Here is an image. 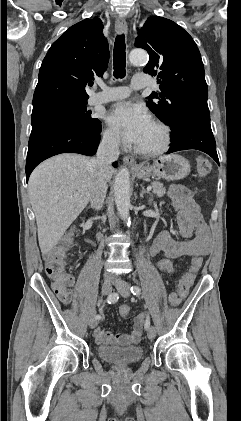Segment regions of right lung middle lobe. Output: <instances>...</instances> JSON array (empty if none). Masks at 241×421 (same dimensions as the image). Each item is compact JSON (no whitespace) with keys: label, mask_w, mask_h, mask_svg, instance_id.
<instances>
[{"label":"right lung middle lobe","mask_w":241,"mask_h":421,"mask_svg":"<svg viewBox=\"0 0 241 421\" xmlns=\"http://www.w3.org/2000/svg\"><path fill=\"white\" fill-rule=\"evenodd\" d=\"M87 101H52L33 107L32 127L52 120H61L74 126L99 132L101 122L87 111Z\"/></svg>","instance_id":"1"}]
</instances>
